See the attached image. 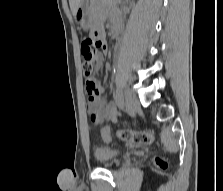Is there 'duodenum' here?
Masks as SVG:
<instances>
[{
	"label": "duodenum",
	"mask_w": 223,
	"mask_h": 191,
	"mask_svg": "<svg viewBox=\"0 0 223 191\" xmlns=\"http://www.w3.org/2000/svg\"><path fill=\"white\" fill-rule=\"evenodd\" d=\"M114 34H115L116 36H118V35L120 34V31L116 29V30L114 31Z\"/></svg>",
	"instance_id": "obj_1"
}]
</instances>
